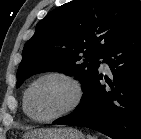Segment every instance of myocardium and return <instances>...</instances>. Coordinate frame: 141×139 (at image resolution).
<instances>
[{
	"instance_id": "obj_1",
	"label": "myocardium",
	"mask_w": 141,
	"mask_h": 139,
	"mask_svg": "<svg viewBox=\"0 0 141 139\" xmlns=\"http://www.w3.org/2000/svg\"><path fill=\"white\" fill-rule=\"evenodd\" d=\"M47 78H59L62 79L64 81H66L67 83L70 84V86L73 89V98L72 101L70 102V104L63 109L62 111H60L59 113L48 117V118H38L36 116H34L29 108V96L30 93L32 91V89L34 88V86ZM83 96H84V88L82 83L73 75L68 74L66 72H62V71H50V72H46L41 74L40 76H38L37 78H35L30 85L28 86V88L25 91L24 94V98H23V107H24V111L25 113L28 115V117H30L32 120L39 122V123H49L52 121H55L57 119H60L70 113H72L73 111H75L79 105L81 104L82 100H83Z\"/></svg>"
}]
</instances>
